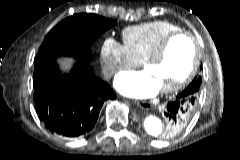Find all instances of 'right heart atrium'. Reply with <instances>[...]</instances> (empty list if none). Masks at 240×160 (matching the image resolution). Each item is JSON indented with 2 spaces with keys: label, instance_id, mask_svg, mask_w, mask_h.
Listing matches in <instances>:
<instances>
[{
  "label": "right heart atrium",
  "instance_id": "obj_1",
  "mask_svg": "<svg viewBox=\"0 0 240 160\" xmlns=\"http://www.w3.org/2000/svg\"><path fill=\"white\" fill-rule=\"evenodd\" d=\"M100 63L103 75L111 78L122 70L134 66L136 61L131 58L123 44L107 38L100 47Z\"/></svg>",
  "mask_w": 240,
  "mask_h": 160
}]
</instances>
